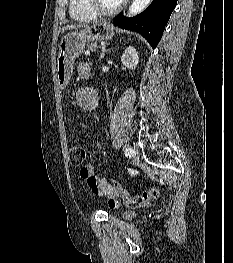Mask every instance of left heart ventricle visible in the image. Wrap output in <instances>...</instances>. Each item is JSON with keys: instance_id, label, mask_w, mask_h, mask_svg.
I'll return each mask as SVG.
<instances>
[{"instance_id": "obj_1", "label": "left heart ventricle", "mask_w": 233, "mask_h": 263, "mask_svg": "<svg viewBox=\"0 0 233 263\" xmlns=\"http://www.w3.org/2000/svg\"><path fill=\"white\" fill-rule=\"evenodd\" d=\"M120 2L121 0H97L98 5L103 9H112Z\"/></svg>"}]
</instances>
